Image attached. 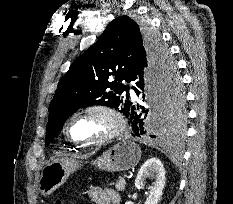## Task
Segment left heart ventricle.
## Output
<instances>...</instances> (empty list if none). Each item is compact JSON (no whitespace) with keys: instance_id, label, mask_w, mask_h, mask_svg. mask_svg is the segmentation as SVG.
<instances>
[{"instance_id":"1","label":"left heart ventricle","mask_w":233,"mask_h":204,"mask_svg":"<svg viewBox=\"0 0 233 204\" xmlns=\"http://www.w3.org/2000/svg\"><path fill=\"white\" fill-rule=\"evenodd\" d=\"M112 121L102 114H87L76 118L69 127V133L76 140H96L111 131Z\"/></svg>"}]
</instances>
